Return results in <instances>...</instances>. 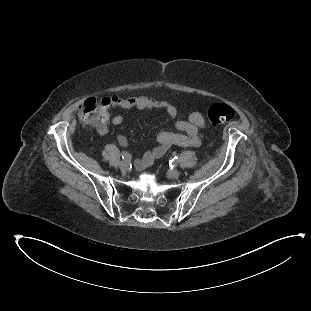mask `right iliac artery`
I'll return each mask as SVG.
<instances>
[{
    "instance_id": "82829eb1",
    "label": "right iliac artery",
    "mask_w": 311,
    "mask_h": 311,
    "mask_svg": "<svg viewBox=\"0 0 311 311\" xmlns=\"http://www.w3.org/2000/svg\"><path fill=\"white\" fill-rule=\"evenodd\" d=\"M121 155H122L123 160H125L126 162L131 160V155L128 152L122 151Z\"/></svg>"
}]
</instances>
